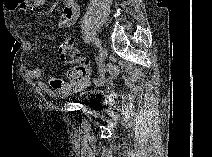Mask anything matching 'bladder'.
<instances>
[{
	"label": "bladder",
	"mask_w": 212,
	"mask_h": 157,
	"mask_svg": "<svg viewBox=\"0 0 212 157\" xmlns=\"http://www.w3.org/2000/svg\"><path fill=\"white\" fill-rule=\"evenodd\" d=\"M99 95V92L96 90H88L84 93L85 98H93Z\"/></svg>",
	"instance_id": "obj_1"
}]
</instances>
